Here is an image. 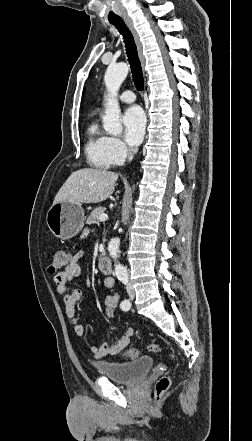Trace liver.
Masks as SVG:
<instances>
[{
  "mask_svg": "<svg viewBox=\"0 0 252 441\" xmlns=\"http://www.w3.org/2000/svg\"><path fill=\"white\" fill-rule=\"evenodd\" d=\"M118 174L104 169L83 168L73 172L55 196L53 203H99L114 191Z\"/></svg>",
  "mask_w": 252,
  "mask_h": 441,
  "instance_id": "1",
  "label": "liver"
}]
</instances>
